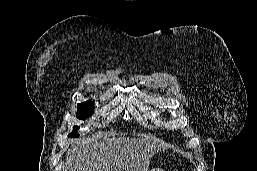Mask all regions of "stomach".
Listing matches in <instances>:
<instances>
[{
	"label": "stomach",
	"instance_id": "1",
	"mask_svg": "<svg viewBox=\"0 0 257 171\" xmlns=\"http://www.w3.org/2000/svg\"><path fill=\"white\" fill-rule=\"evenodd\" d=\"M150 171H163V170H159V169H152Z\"/></svg>",
	"mask_w": 257,
	"mask_h": 171
}]
</instances>
